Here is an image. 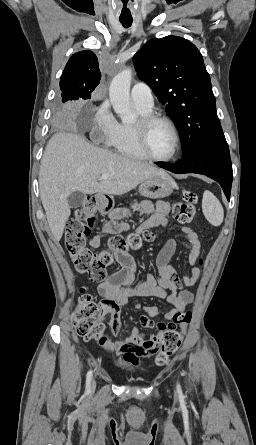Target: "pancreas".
<instances>
[{
    "instance_id": "pancreas-1",
    "label": "pancreas",
    "mask_w": 256,
    "mask_h": 445,
    "mask_svg": "<svg viewBox=\"0 0 256 445\" xmlns=\"http://www.w3.org/2000/svg\"><path fill=\"white\" fill-rule=\"evenodd\" d=\"M131 208L133 210H140L141 214H151L154 212V205L150 201H142L141 203H137L136 201L131 204Z\"/></svg>"
}]
</instances>
